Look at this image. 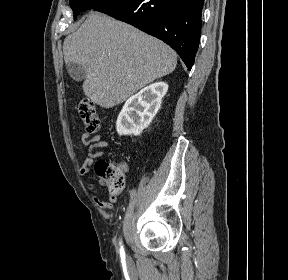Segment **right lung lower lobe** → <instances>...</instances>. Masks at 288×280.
Wrapping results in <instances>:
<instances>
[{"label": "right lung lower lobe", "instance_id": "right-lung-lower-lobe-1", "mask_svg": "<svg viewBox=\"0 0 288 280\" xmlns=\"http://www.w3.org/2000/svg\"><path fill=\"white\" fill-rule=\"evenodd\" d=\"M204 0H111L93 8L170 45L190 70L201 33Z\"/></svg>", "mask_w": 288, "mask_h": 280}]
</instances>
